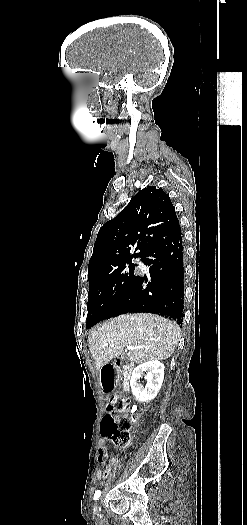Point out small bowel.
Returning a JSON list of instances; mask_svg holds the SVG:
<instances>
[{
  "label": "small bowel",
  "instance_id": "small-bowel-1",
  "mask_svg": "<svg viewBox=\"0 0 247 525\" xmlns=\"http://www.w3.org/2000/svg\"><path fill=\"white\" fill-rule=\"evenodd\" d=\"M107 454V446L105 439H101L98 444V454H97V461L99 464V469L97 471V479L102 480L108 478L110 475L112 466L116 463L117 458L115 456H111L108 458Z\"/></svg>",
  "mask_w": 247,
  "mask_h": 525
}]
</instances>
